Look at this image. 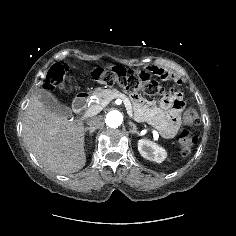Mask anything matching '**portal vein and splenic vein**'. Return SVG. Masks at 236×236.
I'll use <instances>...</instances> for the list:
<instances>
[{
	"instance_id": "portal-vein-and-splenic-vein-1",
	"label": "portal vein and splenic vein",
	"mask_w": 236,
	"mask_h": 236,
	"mask_svg": "<svg viewBox=\"0 0 236 236\" xmlns=\"http://www.w3.org/2000/svg\"><path fill=\"white\" fill-rule=\"evenodd\" d=\"M111 101V99H106L103 101V103L101 105H94V106H91L90 108H88L83 117H91V116H94L96 114H98L99 112H101V110L107 105L109 104V102ZM124 102V105L126 107V110L129 114L130 117H132V111H131V106H130V103L127 101V100H123Z\"/></svg>"
}]
</instances>
